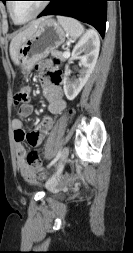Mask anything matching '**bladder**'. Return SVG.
I'll use <instances>...</instances> for the list:
<instances>
[{"label": "bladder", "mask_w": 133, "mask_h": 253, "mask_svg": "<svg viewBox=\"0 0 133 253\" xmlns=\"http://www.w3.org/2000/svg\"><path fill=\"white\" fill-rule=\"evenodd\" d=\"M53 195H54V196H57V195H58V193H56V192H53Z\"/></svg>", "instance_id": "bladder-1"}]
</instances>
